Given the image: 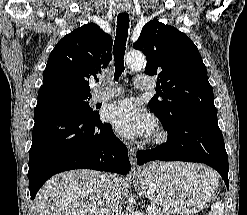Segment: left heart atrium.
<instances>
[{"mask_svg": "<svg viewBox=\"0 0 247 215\" xmlns=\"http://www.w3.org/2000/svg\"><path fill=\"white\" fill-rule=\"evenodd\" d=\"M105 117L123 137L150 136L155 130V120L131 99L110 105Z\"/></svg>", "mask_w": 247, "mask_h": 215, "instance_id": "1", "label": "left heart atrium"}]
</instances>
